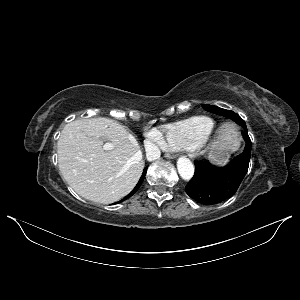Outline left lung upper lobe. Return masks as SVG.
I'll use <instances>...</instances> for the list:
<instances>
[{
    "mask_svg": "<svg viewBox=\"0 0 300 300\" xmlns=\"http://www.w3.org/2000/svg\"><path fill=\"white\" fill-rule=\"evenodd\" d=\"M203 108L209 112L228 117V118L232 119L233 121H235L236 123H238L239 125H241L244 128V130L247 129L244 120L239 115H237L236 113H234L231 110L222 109L217 106L208 105V104H204Z\"/></svg>",
    "mask_w": 300,
    "mask_h": 300,
    "instance_id": "1",
    "label": "left lung upper lobe"
}]
</instances>
